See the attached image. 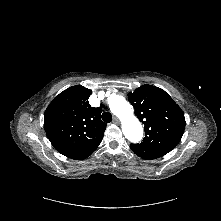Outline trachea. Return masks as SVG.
Returning a JSON list of instances; mask_svg holds the SVG:
<instances>
[{"instance_id":"1","label":"trachea","mask_w":221,"mask_h":221,"mask_svg":"<svg viewBox=\"0 0 221 221\" xmlns=\"http://www.w3.org/2000/svg\"><path fill=\"white\" fill-rule=\"evenodd\" d=\"M102 119H103V121L106 122V123L111 122V121H112V115H111V113H110V112H104V113L102 114Z\"/></svg>"}]
</instances>
